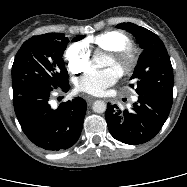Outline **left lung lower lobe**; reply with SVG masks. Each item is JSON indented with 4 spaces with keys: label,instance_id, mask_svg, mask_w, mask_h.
<instances>
[{
    "label": "left lung lower lobe",
    "instance_id": "0a47b994",
    "mask_svg": "<svg viewBox=\"0 0 187 187\" xmlns=\"http://www.w3.org/2000/svg\"><path fill=\"white\" fill-rule=\"evenodd\" d=\"M171 106V99L153 95H139L130 111L121 112L117 105H108L106 121L109 132L126 144L145 143L160 131Z\"/></svg>",
    "mask_w": 187,
    "mask_h": 187
}]
</instances>
